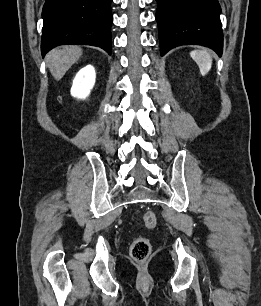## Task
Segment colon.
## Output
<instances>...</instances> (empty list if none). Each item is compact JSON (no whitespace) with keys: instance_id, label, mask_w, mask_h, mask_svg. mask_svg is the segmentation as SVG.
<instances>
[{"instance_id":"colon-1","label":"colon","mask_w":261,"mask_h":306,"mask_svg":"<svg viewBox=\"0 0 261 306\" xmlns=\"http://www.w3.org/2000/svg\"><path fill=\"white\" fill-rule=\"evenodd\" d=\"M142 223L145 228L153 229L157 225L156 215L152 211H147L142 217ZM151 252V244L147 238L137 237L131 244V257L137 262L145 261Z\"/></svg>"}]
</instances>
